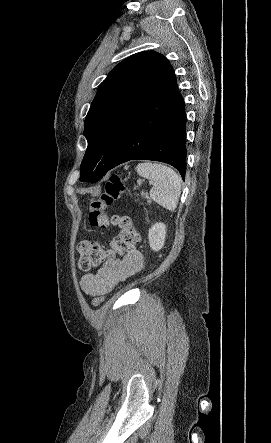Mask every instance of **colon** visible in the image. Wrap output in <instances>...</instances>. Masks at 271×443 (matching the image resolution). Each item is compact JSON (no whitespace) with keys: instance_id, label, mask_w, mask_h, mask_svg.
Returning <instances> with one entry per match:
<instances>
[{"instance_id":"obj_1","label":"colon","mask_w":271,"mask_h":443,"mask_svg":"<svg viewBox=\"0 0 271 443\" xmlns=\"http://www.w3.org/2000/svg\"><path fill=\"white\" fill-rule=\"evenodd\" d=\"M125 189L123 180L117 175H112L106 181L104 191L89 201L90 224L100 228L115 225L119 228V232L108 246L89 240L81 241L78 244V265L81 270H92L110 257L134 249L139 242L137 230L128 216L107 214V208L122 196ZM103 300L104 296H96L92 300V305L98 307Z\"/></svg>"}]
</instances>
